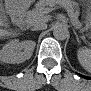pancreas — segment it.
Here are the masks:
<instances>
[{"label":"pancreas","mask_w":91,"mask_h":91,"mask_svg":"<svg viewBox=\"0 0 91 91\" xmlns=\"http://www.w3.org/2000/svg\"><path fill=\"white\" fill-rule=\"evenodd\" d=\"M56 4H59V5L63 6L64 8H66L68 11V15L70 16L72 22L76 26L78 24L80 25V22L78 21V18H77L78 14L74 13V10L72 7L73 4L68 1H46V0L39 1L35 5V8L29 12V15L34 20H41L44 18L45 14H47L48 12H50L52 9L55 8ZM86 29H87V27H86Z\"/></svg>","instance_id":"cf45deb5"}]
</instances>
